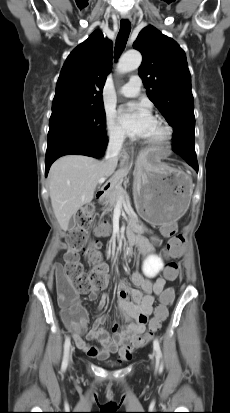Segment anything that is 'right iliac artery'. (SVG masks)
<instances>
[{
	"instance_id": "obj_1",
	"label": "right iliac artery",
	"mask_w": 230,
	"mask_h": 413,
	"mask_svg": "<svg viewBox=\"0 0 230 413\" xmlns=\"http://www.w3.org/2000/svg\"><path fill=\"white\" fill-rule=\"evenodd\" d=\"M70 345H71L70 338L66 337L65 343H64V356H63V361L61 365L62 371H65L68 366V354H69Z\"/></svg>"
}]
</instances>
